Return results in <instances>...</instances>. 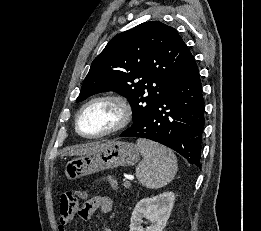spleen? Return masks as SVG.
<instances>
[{
    "label": "spleen",
    "instance_id": "spleen-1",
    "mask_svg": "<svg viewBox=\"0 0 261 231\" xmlns=\"http://www.w3.org/2000/svg\"><path fill=\"white\" fill-rule=\"evenodd\" d=\"M137 147L143 160L136 168V176L143 186L158 189L174 179L177 158L170 149L145 139H138Z\"/></svg>",
    "mask_w": 261,
    "mask_h": 231
}]
</instances>
